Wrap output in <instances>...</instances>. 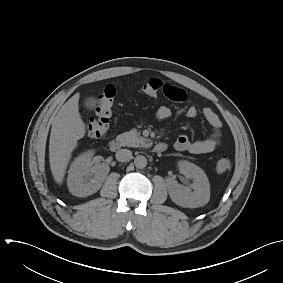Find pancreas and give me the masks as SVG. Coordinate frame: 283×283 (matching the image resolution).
<instances>
[{"instance_id":"pancreas-1","label":"pancreas","mask_w":283,"mask_h":283,"mask_svg":"<svg viewBox=\"0 0 283 283\" xmlns=\"http://www.w3.org/2000/svg\"><path fill=\"white\" fill-rule=\"evenodd\" d=\"M117 140L121 142L122 146L127 147H145L149 144V140L140 136V133L135 129L118 135Z\"/></svg>"}]
</instances>
